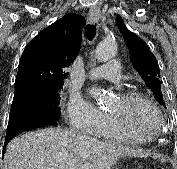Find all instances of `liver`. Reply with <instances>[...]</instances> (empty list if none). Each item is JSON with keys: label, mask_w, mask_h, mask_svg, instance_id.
Here are the masks:
<instances>
[{"label": "liver", "mask_w": 177, "mask_h": 169, "mask_svg": "<svg viewBox=\"0 0 177 169\" xmlns=\"http://www.w3.org/2000/svg\"><path fill=\"white\" fill-rule=\"evenodd\" d=\"M142 155L71 130L46 128L12 139L3 169H111L120 157Z\"/></svg>", "instance_id": "6515ba94"}]
</instances>
